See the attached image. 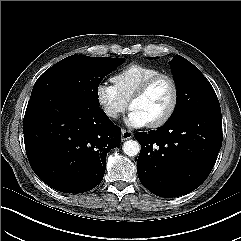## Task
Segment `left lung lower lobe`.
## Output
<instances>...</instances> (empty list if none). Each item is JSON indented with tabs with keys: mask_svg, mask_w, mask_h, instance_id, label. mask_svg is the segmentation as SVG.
I'll return each instance as SVG.
<instances>
[{
	"mask_svg": "<svg viewBox=\"0 0 241 241\" xmlns=\"http://www.w3.org/2000/svg\"><path fill=\"white\" fill-rule=\"evenodd\" d=\"M139 180L160 197H178L210 174L222 145L221 111L185 112L156 131L137 132Z\"/></svg>",
	"mask_w": 241,
	"mask_h": 241,
	"instance_id": "left-lung-lower-lobe-1",
	"label": "left lung lower lobe"
}]
</instances>
